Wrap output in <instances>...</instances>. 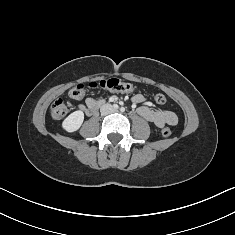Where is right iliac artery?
<instances>
[{
	"instance_id": "right-iliac-artery-1",
	"label": "right iliac artery",
	"mask_w": 235,
	"mask_h": 235,
	"mask_svg": "<svg viewBox=\"0 0 235 235\" xmlns=\"http://www.w3.org/2000/svg\"><path fill=\"white\" fill-rule=\"evenodd\" d=\"M113 107H114V109H118L119 108V106L117 104H114Z\"/></svg>"
}]
</instances>
